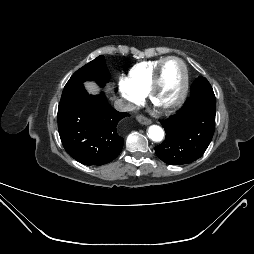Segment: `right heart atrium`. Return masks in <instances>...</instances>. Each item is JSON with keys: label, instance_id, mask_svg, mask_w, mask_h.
I'll use <instances>...</instances> for the list:
<instances>
[{"label": "right heart atrium", "instance_id": "right-heart-atrium-1", "mask_svg": "<svg viewBox=\"0 0 254 254\" xmlns=\"http://www.w3.org/2000/svg\"><path fill=\"white\" fill-rule=\"evenodd\" d=\"M119 92L124 100L129 103H137L142 99L139 93L130 83L127 77L121 76L118 81Z\"/></svg>", "mask_w": 254, "mask_h": 254}]
</instances>
